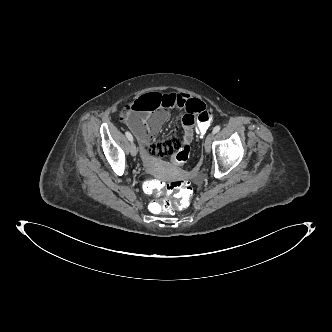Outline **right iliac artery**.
Returning <instances> with one entry per match:
<instances>
[{"label":"right iliac artery","instance_id":"1","mask_svg":"<svg viewBox=\"0 0 332 332\" xmlns=\"http://www.w3.org/2000/svg\"><path fill=\"white\" fill-rule=\"evenodd\" d=\"M125 135H126V137L128 138L129 141H131V142L133 141V136L131 135L130 132L126 131Z\"/></svg>","mask_w":332,"mask_h":332}]
</instances>
